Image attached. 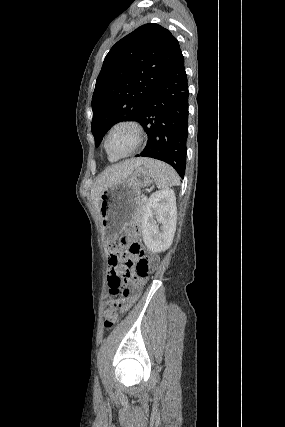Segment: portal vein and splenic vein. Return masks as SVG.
Masks as SVG:
<instances>
[{"label": "portal vein and splenic vein", "instance_id": "18ae733b", "mask_svg": "<svg viewBox=\"0 0 285 427\" xmlns=\"http://www.w3.org/2000/svg\"><path fill=\"white\" fill-rule=\"evenodd\" d=\"M146 199H147V198H146V196H143V197H142V200H143V201H146Z\"/></svg>", "mask_w": 285, "mask_h": 427}]
</instances>
